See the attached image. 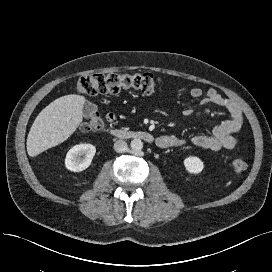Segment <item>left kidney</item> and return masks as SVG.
Segmentation results:
<instances>
[{
  "mask_svg": "<svg viewBox=\"0 0 272 272\" xmlns=\"http://www.w3.org/2000/svg\"><path fill=\"white\" fill-rule=\"evenodd\" d=\"M184 166L186 170L191 174H199L204 168L202 160L196 156H190L185 158Z\"/></svg>",
  "mask_w": 272,
  "mask_h": 272,
  "instance_id": "5707ae66",
  "label": "left kidney"
}]
</instances>
